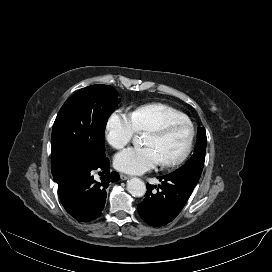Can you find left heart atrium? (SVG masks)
<instances>
[{
    "label": "left heart atrium",
    "mask_w": 272,
    "mask_h": 272,
    "mask_svg": "<svg viewBox=\"0 0 272 272\" xmlns=\"http://www.w3.org/2000/svg\"><path fill=\"white\" fill-rule=\"evenodd\" d=\"M162 163L159 153L150 146L130 147L116 155L114 164L120 171L141 174Z\"/></svg>",
    "instance_id": "obj_1"
}]
</instances>
